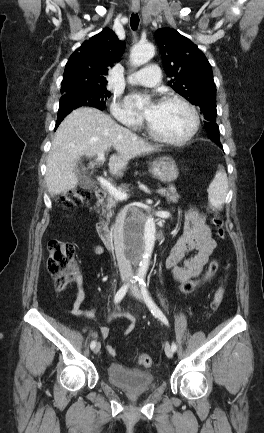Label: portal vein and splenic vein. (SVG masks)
<instances>
[{
  "mask_svg": "<svg viewBox=\"0 0 264 433\" xmlns=\"http://www.w3.org/2000/svg\"><path fill=\"white\" fill-rule=\"evenodd\" d=\"M104 159H105L104 152H100V153H98L97 158L95 159V163H91L90 166L93 167L97 162H102V161H104ZM97 180L117 200H126L128 198L127 193L116 189L109 181H107L103 177H98ZM165 192H167L166 189H159L158 190V193L161 195L164 194Z\"/></svg>",
  "mask_w": 264,
  "mask_h": 433,
  "instance_id": "portal-vein-and-splenic-vein-1",
  "label": "portal vein and splenic vein"
}]
</instances>
